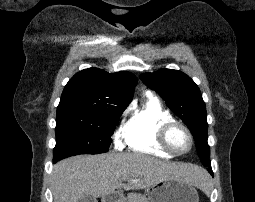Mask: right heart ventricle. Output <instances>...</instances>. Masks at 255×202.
Segmentation results:
<instances>
[{
	"instance_id": "obj_1",
	"label": "right heart ventricle",
	"mask_w": 255,
	"mask_h": 202,
	"mask_svg": "<svg viewBox=\"0 0 255 202\" xmlns=\"http://www.w3.org/2000/svg\"><path fill=\"white\" fill-rule=\"evenodd\" d=\"M174 120L171 113L154 96L148 94L123 124L120 136L128 149L158 157L170 158L158 142L160 127Z\"/></svg>"
}]
</instances>
